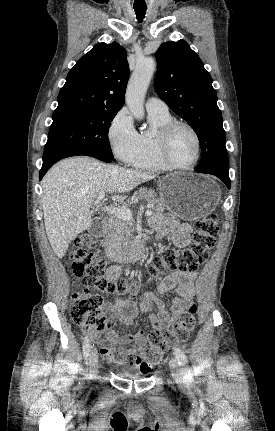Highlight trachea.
I'll use <instances>...</instances> for the list:
<instances>
[{
	"label": "trachea",
	"mask_w": 275,
	"mask_h": 431,
	"mask_svg": "<svg viewBox=\"0 0 275 431\" xmlns=\"http://www.w3.org/2000/svg\"><path fill=\"white\" fill-rule=\"evenodd\" d=\"M136 16H137V20L139 22H142L143 19L145 18V14H146V7L145 8H134Z\"/></svg>",
	"instance_id": "1"
}]
</instances>
